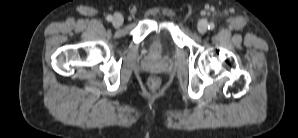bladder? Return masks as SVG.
Segmentation results:
<instances>
[{
    "label": "bladder",
    "mask_w": 298,
    "mask_h": 138,
    "mask_svg": "<svg viewBox=\"0 0 298 138\" xmlns=\"http://www.w3.org/2000/svg\"><path fill=\"white\" fill-rule=\"evenodd\" d=\"M165 46V41L161 37H155L149 45V53L153 56L160 55Z\"/></svg>",
    "instance_id": "obj_1"
}]
</instances>
